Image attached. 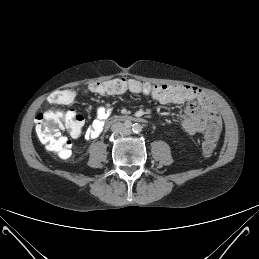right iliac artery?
I'll use <instances>...</instances> for the list:
<instances>
[{"instance_id":"obj_1","label":"right iliac artery","mask_w":259,"mask_h":259,"mask_svg":"<svg viewBox=\"0 0 259 259\" xmlns=\"http://www.w3.org/2000/svg\"><path fill=\"white\" fill-rule=\"evenodd\" d=\"M131 126H133L132 123H127L126 124V127H128V128H130Z\"/></svg>"}]
</instances>
